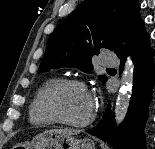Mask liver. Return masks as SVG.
Listing matches in <instances>:
<instances>
[{
  "label": "liver",
  "mask_w": 155,
  "mask_h": 149,
  "mask_svg": "<svg viewBox=\"0 0 155 149\" xmlns=\"http://www.w3.org/2000/svg\"><path fill=\"white\" fill-rule=\"evenodd\" d=\"M47 132H54V133H63V134H69V135H77L80 133V130L77 129H53Z\"/></svg>",
  "instance_id": "obj_1"
}]
</instances>
